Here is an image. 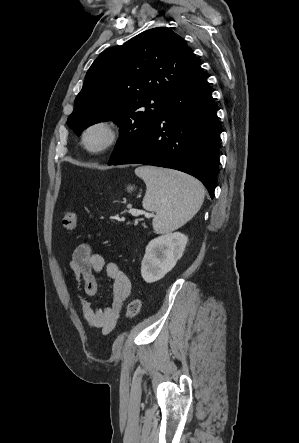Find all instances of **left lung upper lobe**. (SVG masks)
<instances>
[{"label": "left lung upper lobe", "instance_id": "5c2ea615", "mask_svg": "<svg viewBox=\"0 0 299 443\" xmlns=\"http://www.w3.org/2000/svg\"><path fill=\"white\" fill-rule=\"evenodd\" d=\"M198 66L186 42L169 28L144 31L96 58L67 125L80 135L95 123H116L120 138L112 163L155 124L167 100Z\"/></svg>", "mask_w": 299, "mask_h": 443}]
</instances>
